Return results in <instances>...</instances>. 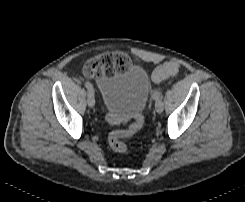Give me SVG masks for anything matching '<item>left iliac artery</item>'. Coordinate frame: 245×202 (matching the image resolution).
I'll list each match as a JSON object with an SVG mask.
<instances>
[{
    "mask_svg": "<svg viewBox=\"0 0 245 202\" xmlns=\"http://www.w3.org/2000/svg\"><path fill=\"white\" fill-rule=\"evenodd\" d=\"M153 100L157 103L158 101L162 100V93L161 91H157L153 95Z\"/></svg>",
    "mask_w": 245,
    "mask_h": 202,
    "instance_id": "obj_1",
    "label": "left iliac artery"
}]
</instances>
